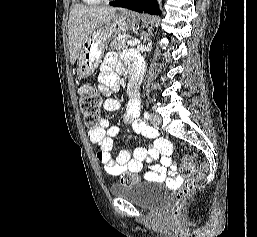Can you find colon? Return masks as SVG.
<instances>
[{"mask_svg":"<svg viewBox=\"0 0 257 237\" xmlns=\"http://www.w3.org/2000/svg\"><path fill=\"white\" fill-rule=\"evenodd\" d=\"M79 94L84 121L87 126L94 128L99 121L102 98L98 91L87 83H83L79 87ZM204 173L205 168L203 166L195 164L190 156L184 157L181 171V185L176 192L175 201L170 212L172 219H181L190 195L195 190L198 180L204 176ZM135 181H137V178L128 173H123L120 177L121 184H130Z\"/></svg>","mask_w":257,"mask_h":237,"instance_id":"1","label":"colon"}]
</instances>
